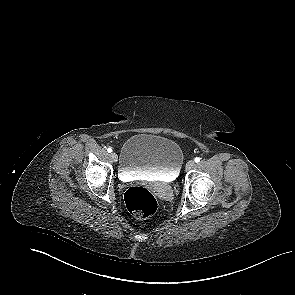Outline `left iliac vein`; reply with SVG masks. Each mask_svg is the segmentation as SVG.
Segmentation results:
<instances>
[{"instance_id":"obj_1","label":"left iliac vein","mask_w":295,"mask_h":295,"mask_svg":"<svg viewBox=\"0 0 295 295\" xmlns=\"http://www.w3.org/2000/svg\"><path fill=\"white\" fill-rule=\"evenodd\" d=\"M194 165H195V162L193 160H190L186 164V169L190 170V169H192L194 167Z\"/></svg>"}]
</instances>
